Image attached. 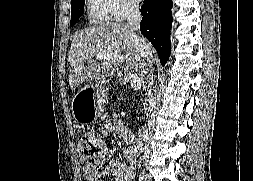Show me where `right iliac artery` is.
<instances>
[{
  "instance_id": "1",
  "label": "right iliac artery",
  "mask_w": 253,
  "mask_h": 181,
  "mask_svg": "<svg viewBox=\"0 0 253 181\" xmlns=\"http://www.w3.org/2000/svg\"><path fill=\"white\" fill-rule=\"evenodd\" d=\"M139 181H144V176L143 175H140Z\"/></svg>"
}]
</instances>
